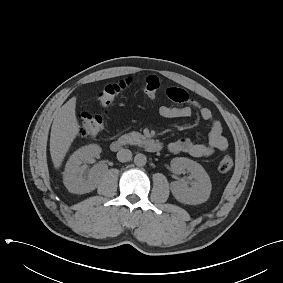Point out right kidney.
<instances>
[{
  "label": "right kidney",
  "mask_w": 283,
  "mask_h": 283,
  "mask_svg": "<svg viewBox=\"0 0 283 283\" xmlns=\"http://www.w3.org/2000/svg\"><path fill=\"white\" fill-rule=\"evenodd\" d=\"M101 153L100 146L90 144L73 153L67 161L63 183L69 192L85 194L93 191L101 180L105 166H94L85 175L86 163H92L94 158ZM85 165H82V164Z\"/></svg>",
  "instance_id": "right-kidney-1"
}]
</instances>
